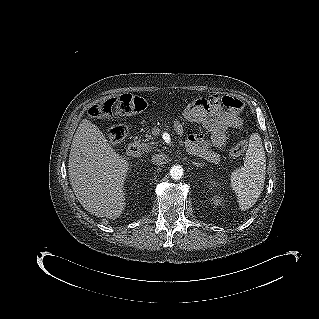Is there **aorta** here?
<instances>
[{"mask_svg":"<svg viewBox=\"0 0 319 319\" xmlns=\"http://www.w3.org/2000/svg\"><path fill=\"white\" fill-rule=\"evenodd\" d=\"M170 176L174 180H178L183 176V168L180 165H174L170 169Z\"/></svg>","mask_w":319,"mask_h":319,"instance_id":"1","label":"aorta"}]
</instances>
